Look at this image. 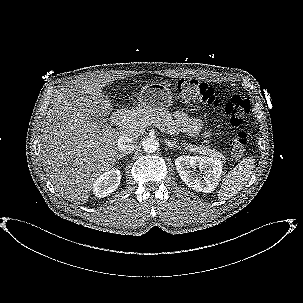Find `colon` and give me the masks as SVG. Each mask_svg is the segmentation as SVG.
<instances>
[{
	"label": "colon",
	"instance_id": "obj_1",
	"mask_svg": "<svg viewBox=\"0 0 303 303\" xmlns=\"http://www.w3.org/2000/svg\"><path fill=\"white\" fill-rule=\"evenodd\" d=\"M175 91L186 104L223 111L233 127H240L244 121V117L250 111V102L248 99L234 95L227 101L222 102L210 86L194 80H181L177 82ZM229 141L231 155L235 159L242 158L247 149L246 133L243 130H238L230 136Z\"/></svg>",
	"mask_w": 303,
	"mask_h": 303
}]
</instances>
